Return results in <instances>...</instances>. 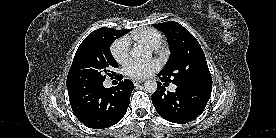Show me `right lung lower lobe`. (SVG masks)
Here are the masks:
<instances>
[{
	"label": "right lung lower lobe",
	"mask_w": 276,
	"mask_h": 138,
	"mask_svg": "<svg viewBox=\"0 0 276 138\" xmlns=\"http://www.w3.org/2000/svg\"><path fill=\"white\" fill-rule=\"evenodd\" d=\"M119 76L122 79V75ZM133 89L128 79L111 88H105L102 83L69 92V101L79 121L90 128L104 129L124 117Z\"/></svg>",
	"instance_id": "right-lung-lower-lobe-1"
}]
</instances>
